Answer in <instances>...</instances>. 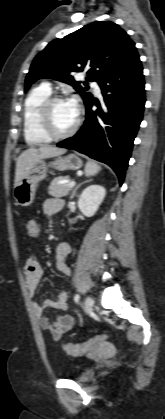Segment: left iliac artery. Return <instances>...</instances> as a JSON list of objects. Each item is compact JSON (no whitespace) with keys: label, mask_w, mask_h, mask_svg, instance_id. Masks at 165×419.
<instances>
[{"label":"left iliac artery","mask_w":165,"mask_h":419,"mask_svg":"<svg viewBox=\"0 0 165 419\" xmlns=\"http://www.w3.org/2000/svg\"><path fill=\"white\" fill-rule=\"evenodd\" d=\"M79 299H80L79 294H76V295L74 296V301H75L76 303H78Z\"/></svg>","instance_id":"obj_1"}]
</instances>
